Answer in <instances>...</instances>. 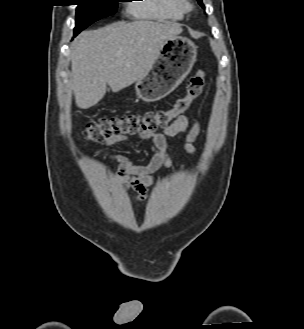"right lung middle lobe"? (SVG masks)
I'll list each match as a JSON object with an SVG mask.
<instances>
[{"label":"right lung middle lobe","mask_w":304,"mask_h":329,"mask_svg":"<svg viewBox=\"0 0 304 329\" xmlns=\"http://www.w3.org/2000/svg\"><path fill=\"white\" fill-rule=\"evenodd\" d=\"M78 2L76 8V26L74 36L88 27L91 23L114 14L117 2L120 0H75Z\"/></svg>","instance_id":"right-lung-middle-lobe-1"}]
</instances>
